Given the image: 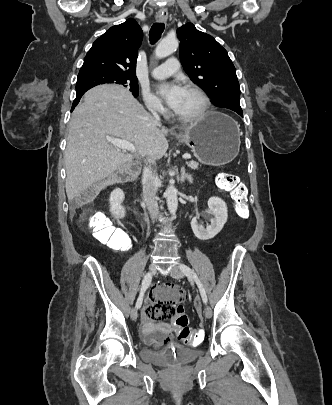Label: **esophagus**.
<instances>
[{
  "label": "esophagus",
  "mask_w": 332,
  "mask_h": 405,
  "mask_svg": "<svg viewBox=\"0 0 332 405\" xmlns=\"http://www.w3.org/2000/svg\"><path fill=\"white\" fill-rule=\"evenodd\" d=\"M168 18V12L167 10H159L156 14V20L158 22H163L166 21Z\"/></svg>",
  "instance_id": "obj_1"
}]
</instances>
